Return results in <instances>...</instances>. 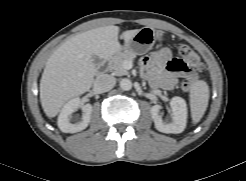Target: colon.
I'll return each instance as SVG.
<instances>
[{
	"mask_svg": "<svg viewBox=\"0 0 246 181\" xmlns=\"http://www.w3.org/2000/svg\"><path fill=\"white\" fill-rule=\"evenodd\" d=\"M178 53L183 58L188 69L186 79L182 83V89L188 92L197 79L198 72L204 69V64L201 58L188 45H179Z\"/></svg>",
	"mask_w": 246,
	"mask_h": 181,
	"instance_id": "1",
	"label": "colon"
}]
</instances>
